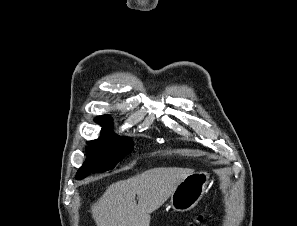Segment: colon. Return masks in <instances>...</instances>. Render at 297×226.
I'll list each match as a JSON object with an SVG mask.
<instances>
[{
    "label": "colon",
    "mask_w": 297,
    "mask_h": 226,
    "mask_svg": "<svg viewBox=\"0 0 297 226\" xmlns=\"http://www.w3.org/2000/svg\"><path fill=\"white\" fill-rule=\"evenodd\" d=\"M205 219V214H199L190 224L189 226H199Z\"/></svg>",
    "instance_id": "obj_1"
}]
</instances>
